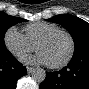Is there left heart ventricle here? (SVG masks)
<instances>
[{
  "instance_id": "b2bd125f",
  "label": "left heart ventricle",
  "mask_w": 89,
  "mask_h": 89,
  "mask_svg": "<svg viewBox=\"0 0 89 89\" xmlns=\"http://www.w3.org/2000/svg\"><path fill=\"white\" fill-rule=\"evenodd\" d=\"M70 50V42L67 36L59 34L39 46L38 52L45 55L49 64L63 61Z\"/></svg>"
}]
</instances>
